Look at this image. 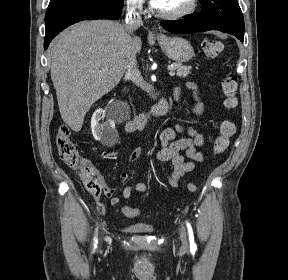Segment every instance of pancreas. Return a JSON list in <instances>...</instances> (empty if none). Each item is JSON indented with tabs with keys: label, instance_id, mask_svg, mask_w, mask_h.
I'll return each instance as SVG.
<instances>
[{
	"label": "pancreas",
	"instance_id": "cf45deb5",
	"mask_svg": "<svg viewBox=\"0 0 288 280\" xmlns=\"http://www.w3.org/2000/svg\"><path fill=\"white\" fill-rule=\"evenodd\" d=\"M170 67L177 71V76L178 77L185 78L191 72V67L190 66H184L181 63H172Z\"/></svg>",
	"mask_w": 288,
	"mask_h": 280
}]
</instances>
